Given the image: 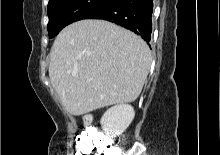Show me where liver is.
Wrapping results in <instances>:
<instances>
[{"mask_svg": "<svg viewBox=\"0 0 220 155\" xmlns=\"http://www.w3.org/2000/svg\"><path fill=\"white\" fill-rule=\"evenodd\" d=\"M150 65V49L136 34L104 20H81L56 37L49 77L66 111L78 116L135 101Z\"/></svg>", "mask_w": 220, "mask_h": 155, "instance_id": "6515ba94", "label": "liver"}]
</instances>
